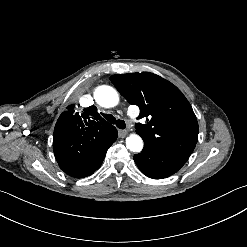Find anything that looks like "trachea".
<instances>
[{
    "label": "trachea",
    "mask_w": 247,
    "mask_h": 247,
    "mask_svg": "<svg viewBox=\"0 0 247 247\" xmlns=\"http://www.w3.org/2000/svg\"><path fill=\"white\" fill-rule=\"evenodd\" d=\"M102 116L110 123L115 124L118 128L124 129L125 128V122L123 120H116L115 117L108 114H102Z\"/></svg>",
    "instance_id": "3493384b"
}]
</instances>
